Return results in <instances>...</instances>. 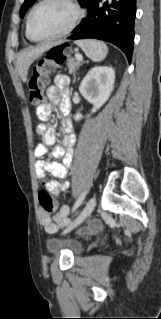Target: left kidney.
I'll list each match as a JSON object with an SVG mask.
<instances>
[{"mask_svg": "<svg viewBox=\"0 0 161 319\" xmlns=\"http://www.w3.org/2000/svg\"><path fill=\"white\" fill-rule=\"evenodd\" d=\"M115 71L109 66H96L90 69L82 80L79 91L82 96L93 104L92 113L96 112L109 99L114 87ZM82 114L74 115V120L79 121Z\"/></svg>", "mask_w": 161, "mask_h": 319, "instance_id": "5707ae66", "label": "left kidney"}]
</instances>
